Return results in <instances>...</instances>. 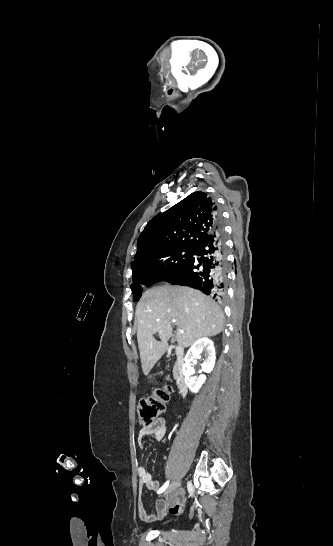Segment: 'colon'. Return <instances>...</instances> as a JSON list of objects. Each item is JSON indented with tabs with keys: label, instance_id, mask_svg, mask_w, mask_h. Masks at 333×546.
<instances>
[{
	"label": "colon",
	"instance_id": "colon-1",
	"mask_svg": "<svg viewBox=\"0 0 333 546\" xmlns=\"http://www.w3.org/2000/svg\"><path fill=\"white\" fill-rule=\"evenodd\" d=\"M171 391L169 385H163L155 388L149 396L139 401L138 421L143 428L151 425L165 411Z\"/></svg>",
	"mask_w": 333,
	"mask_h": 546
}]
</instances>
